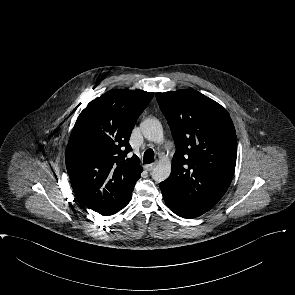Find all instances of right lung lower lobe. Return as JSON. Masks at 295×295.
Segmentation results:
<instances>
[{"instance_id": "1", "label": "right lung lower lobe", "mask_w": 295, "mask_h": 295, "mask_svg": "<svg viewBox=\"0 0 295 295\" xmlns=\"http://www.w3.org/2000/svg\"><path fill=\"white\" fill-rule=\"evenodd\" d=\"M130 199H131V197L127 200V202L124 204L123 207H125V206L128 204V202H129ZM123 207H122V208H123ZM122 208H121V209H122ZM119 210H120V209H119ZM119 210H117V211H119ZM117 211H116V212H117ZM116 212H115V213H116ZM113 214H114V213H113ZM110 215H111V214H110Z\"/></svg>"}]
</instances>
